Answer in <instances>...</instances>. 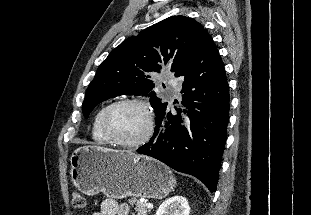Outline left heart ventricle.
Here are the masks:
<instances>
[{"mask_svg": "<svg viewBox=\"0 0 311 215\" xmlns=\"http://www.w3.org/2000/svg\"><path fill=\"white\" fill-rule=\"evenodd\" d=\"M109 127L123 141L138 140L147 129L146 112L137 105H121L111 113Z\"/></svg>", "mask_w": 311, "mask_h": 215, "instance_id": "1", "label": "left heart ventricle"}]
</instances>
